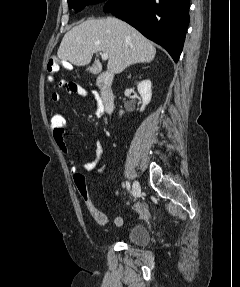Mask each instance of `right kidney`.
<instances>
[{
    "label": "right kidney",
    "instance_id": "ca27d5eb",
    "mask_svg": "<svg viewBox=\"0 0 240 287\" xmlns=\"http://www.w3.org/2000/svg\"><path fill=\"white\" fill-rule=\"evenodd\" d=\"M152 84L150 80H143L138 83L137 89L139 94L142 97V106L140 108V112L145 110V107L150 103L151 98H152ZM123 114V111H120V115Z\"/></svg>",
    "mask_w": 240,
    "mask_h": 287
}]
</instances>
